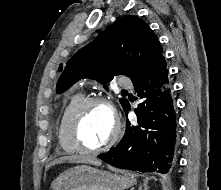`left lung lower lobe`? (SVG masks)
<instances>
[{
  "label": "left lung lower lobe",
  "instance_id": "left-lung-lower-lobe-1",
  "mask_svg": "<svg viewBox=\"0 0 221 190\" xmlns=\"http://www.w3.org/2000/svg\"><path fill=\"white\" fill-rule=\"evenodd\" d=\"M143 102L134 110L137 124H126L120 143L107 153L98 155L120 169L139 172L168 173L176 163L177 132L166 61H159L141 78L133 82ZM130 110V104L125 107Z\"/></svg>",
  "mask_w": 221,
  "mask_h": 190
}]
</instances>
